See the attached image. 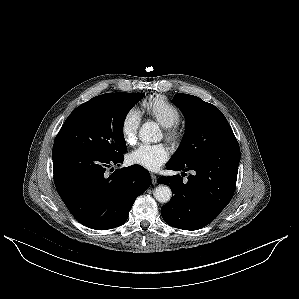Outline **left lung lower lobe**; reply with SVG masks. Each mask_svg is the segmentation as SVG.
I'll list each match as a JSON object with an SVG mask.
<instances>
[{"label":"left lung lower lobe","mask_w":299,"mask_h":299,"mask_svg":"<svg viewBox=\"0 0 299 299\" xmlns=\"http://www.w3.org/2000/svg\"><path fill=\"white\" fill-rule=\"evenodd\" d=\"M239 161L236 142L186 163L169 162L167 169L195 173L188 181L180 175L158 178V183L172 190L171 200L161 208L164 221L184 230H198L211 223L233 197Z\"/></svg>","instance_id":"left-lung-lower-lobe-1"}]
</instances>
